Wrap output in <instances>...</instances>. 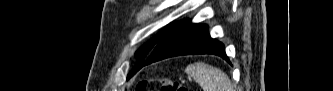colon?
Here are the masks:
<instances>
[{
  "label": "colon",
  "mask_w": 333,
  "mask_h": 91,
  "mask_svg": "<svg viewBox=\"0 0 333 91\" xmlns=\"http://www.w3.org/2000/svg\"><path fill=\"white\" fill-rule=\"evenodd\" d=\"M158 81L160 84L161 91H188V89L180 82L174 81L170 78L162 77ZM149 84H150L149 80H142L137 84L136 90L146 91L148 90Z\"/></svg>",
  "instance_id": "obj_1"
}]
</instances>
